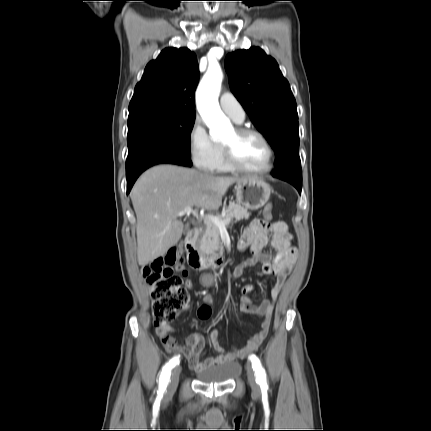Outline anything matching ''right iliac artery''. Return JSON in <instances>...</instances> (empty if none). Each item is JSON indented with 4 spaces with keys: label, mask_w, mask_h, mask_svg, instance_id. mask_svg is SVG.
Instances as JSON below:
<instances>
[{
    "label": "right iliac artery",
    "mask_w": 431,
    "mask_h": 431,
    "mask_svg": "<svg viewBox=\"0 0 431 431\" xmlns=\"http://www.w3.org/2000/svg\"><path fill=\"white\" fill-rule=\"evenodd\" d=\"M179 363V356L173 357L165 364L159 378V392L163 393L168 385L172 368Z\"/></svg>",
    "instance_id": "right-iliac-artery-1"
}]
</instances>
